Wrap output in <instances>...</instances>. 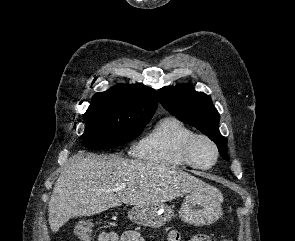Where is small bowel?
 <instances>
[{"mask_svg": "<svg viewBox=\"0 0 295 241\" xmlns=\"http://www.w3.org/2000/svg\"><path fill=\"white\" fill-rule=\"evenodd\" d=\"M99 241H146L143 233L139 230H129L118 236L115 232H103L99 236ZM167 241H181V236L176 231H171L168 235ZM189 241H211L208 236L197 235L192 237Z\"/></svg>", "mask_w": 295, "mask_h": 241, "instance_id": "obj_1", "label": "small bowel"}]
</instances>
